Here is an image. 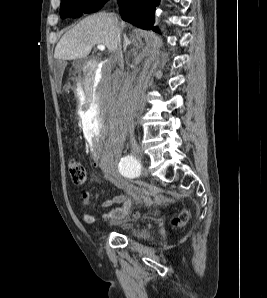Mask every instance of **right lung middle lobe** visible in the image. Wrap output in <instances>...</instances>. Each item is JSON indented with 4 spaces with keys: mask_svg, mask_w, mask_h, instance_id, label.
Returning a JSON list of instances; mask_svg holds the SVG:
<instances>
[{
    "mask_svg": "<svg viewBox=\"0 0 267 298\" xmlns=\"http://www.w3.org/2000/svg\"><path fill=\"white\" fill-rule=\"evenodd\" d=\"M108 0H61L60 16L80 17L86 13L100 10Z\"/></svg>",
    "mask_w": 267,
    "mask_h": 298,
    "instance_id": "right-lung-middle-lobe-1",
    "label": "right lung middle lobe"
}]
</instances>
